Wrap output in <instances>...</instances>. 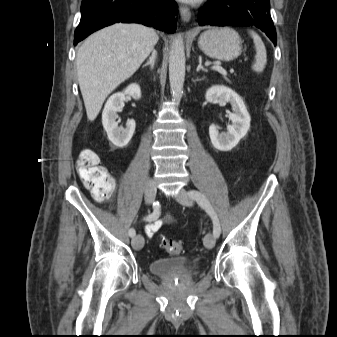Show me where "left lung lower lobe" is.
I'll return each mask as SVG.
<instances>
[{
  "mask_svg": "<svg viewBox=\"0 0 337 337\" xmlns=\"http://www.w3.org/2000/svg\"><path fill=\"white\" fill-rule=\"evenodd\" d=\"M201 26H255L276 45L269 0H210L198 14Z\"/></svg>",
  "mask_w": 337,
  "mask_h": 337,
  "instance_id": "left-lung-lower-lobe-1",
  "label": "left lung lower lobe"
}]
</instances>
